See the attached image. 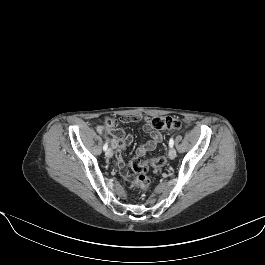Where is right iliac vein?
<instances>
[{
	"mask_svg": "<svg viewBox=\"0 0 265 265\" xmlns=\"http://www.w3.org/2000/svg\"><path fill=\"white\" fill-rule=\"evenodd\" d=\"M106 157L111 158L113 156V150L111 148L106 150Z\"/></svg>",
	"mask_w": 265,
	"mask_h": 265,
	"instance_id": "obj_1",
	"label": "right iliac vein"
}]
</instances>
